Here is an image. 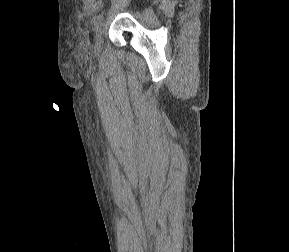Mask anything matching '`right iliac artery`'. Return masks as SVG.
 I'll use <instances>...</instances> for the list:
<instances>
[{"label":"right iliac artery","mask_w":289,"mask_h":252,"mask_svg":"<svg viewBox=\"0 0 289 252\" xmlns=\"http://www.w3.org/2000/svg\"><path fill=\"white\" fill-rule=\"evenodd\" d=\"M102 20H103V14L101 13L94 20L95 29L99 27V25L102 23Z\"/></svg>","instance_id":"right-iliac-artery-1"}]
</instances>
